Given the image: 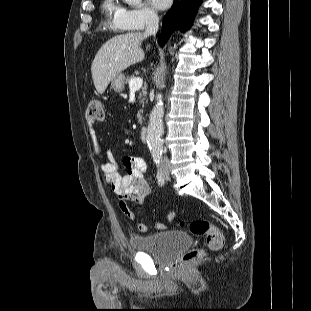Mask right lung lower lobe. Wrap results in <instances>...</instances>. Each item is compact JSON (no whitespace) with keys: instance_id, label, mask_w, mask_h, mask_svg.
Returning <instances> with one entry per match:
<instances>
[{"instance_id":"1","label":"right lung lower lobe","mask_w":311,"mask_h":311,"mask_svg":"<svg viewBox=\"0 0 311 311\" xmlns=\"http://www.w3.org/2000/svg\"><path fill=\"white\" fill-rule=\"evenodd\" d=\"M202 0H174L172 8L164 17L163 32L159 36L161 46L175 30L186 31L192 24L195 13Z\"/></svg>"}]
</instances>
